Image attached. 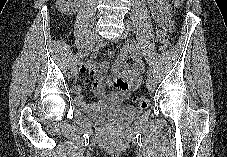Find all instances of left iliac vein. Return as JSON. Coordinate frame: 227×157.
Segmentation results:
<instances>
[{
    "label": "left iliac vein",
    "instance_id": "left-iliac-vein-1",
    "mask_svg": "<svg viewBox=\"0 0 227 157\" xmlns=\"http://www.w3.org/2000/svg\"><path fill=\"white\" fill-rule=\"evenodd\" d=\"M129 24H130L129 22H126L127 29L121 34V36H120L121 39H123V38H125L127 36L128 30H129ZM155 86H156V84H155L154 79L152 77H148V79H147V88L150 91H152V90L155 89Z\"/></svg>",
    "mask_w": 227,
    "mask_h": 157
}]
</instances>
